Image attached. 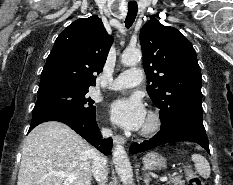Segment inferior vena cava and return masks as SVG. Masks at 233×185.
I'll list each match as a JSON object with an SVG mask.
<instances>
[{"label": "inferior vena cava", "instance_id": "602c4592", "mask_svg": "<svg viewBox=\"0 0 233 185\" xmlns=\"http://www.w3.org/2000/svg\"><path fill=\"white\" fill-rule=\"evenodd\" d=\"M101 133L104 138L112 136V131L109 129H102ZM92 173L99 182V185H105L108 177V166L104 156L98 155L94 158L92 162Z\"/></svg>", "mask_w": 233, "mask_h": 185}]
</instances>
